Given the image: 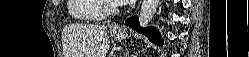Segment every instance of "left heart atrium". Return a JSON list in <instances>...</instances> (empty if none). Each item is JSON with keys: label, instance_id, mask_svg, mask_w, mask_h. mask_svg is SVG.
I'll return each instance as SVG.
<instances>
[{"label": "left heart atrium", "instance_id": "left-heart-atrium-1", "mask_svg": "<svg viewBox=\"0 0 249 57\" xmlns=\"http://www.w3.org/2000/svg\"><path fill=\"white\" fill-rule=\"evenodd\" d=\"M116 2H117L118 4L123 5V4L132 3L133 0H116Z\"/></svg>", "mask_w": 249, "mask_h": 57}]
</instances>
